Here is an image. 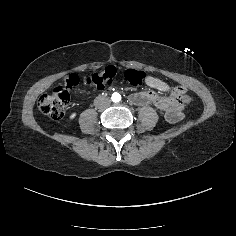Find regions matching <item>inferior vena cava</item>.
<instances>
[{
  "instance_id": "inferior-vena-cava-1",
  "label": "inferior vena cava",
  "mask_w": 236,
  "mask_h": 236,
  "mask_svg": "<svg viewBox=\"0 0 236 236\" xmlns=\"http://www.w3.org/2000/svg\"><path fill=\"white\" fill-rule=\"evenodd\" d=\"M94 103L100 107H106L110 105L111 100L108 97L100 96L95 99Z\"/></svg>"
}]
</instances>
